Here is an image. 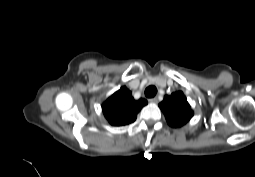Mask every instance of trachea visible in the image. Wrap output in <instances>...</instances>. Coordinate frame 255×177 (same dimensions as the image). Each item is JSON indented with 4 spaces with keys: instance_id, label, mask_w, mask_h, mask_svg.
Masks as SVG:
<instances>
[{
    "instance_id": "1",
    "label": "trachea",
    "mask_w": 255,
    "mask_h": 177,
    "mask_svg": "<svg viewBox=\"0 0 255 177\" xmlns=\"http://www.w3.org/2000/svg\"><path fill=\"white\" fill-rule=\"evenodd\" d=\"M157 88L155 86H149L145 90V96L148 98H152L156 95Z\"/></svg>"
}]
</instances>
